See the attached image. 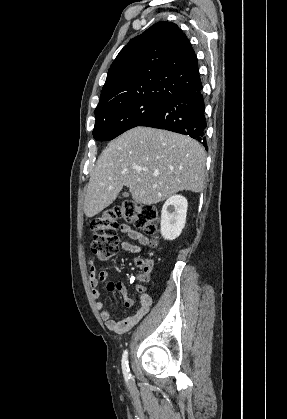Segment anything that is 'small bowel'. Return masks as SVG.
<instances>
[{
  "label": "small bowel",
  "instance_id": "1",
  "mask_svg": "<svg viewBox=\"0 0 287 419\" xmlns=\"http://www.w3.org/2000/svg\"><path fill=\"white\" fill-rule=\"evenodd\" d=\"M121 230L124 235L138 241L140 244V245H136L128 241H122L121 242L122 249L132 254L141 253V246L146 245L148 243L147 237L135 231L134 229H132L131 227L127 225H123L121 227ZM90 264H91L90 284L92 287L91 293L94 299L100 298V291L98 289V285L100 282H103L106 284V287L108 290L117 291L122 295L126 306L132 307L136 304L135 299L130 298L128 296L127 289L122 282L108 281L107 273L105 270H100L98 273H96L92 260L90 261ZM146 272L148 273L149 269H147ZM138 299L140 302L139 307L129 316L121 320L111 319V314L109 310L105 307V304L102 301H97L96 308L99 311V314L102 320L105 322L109 330L116 333H124L130 330L133 326H135L140 321V319L149 311L152 305V298L148 294L140 293L138 294Z\"/></svg>",
  "mask_w": 287,
  "mask_h": 419
}]
</instances>
